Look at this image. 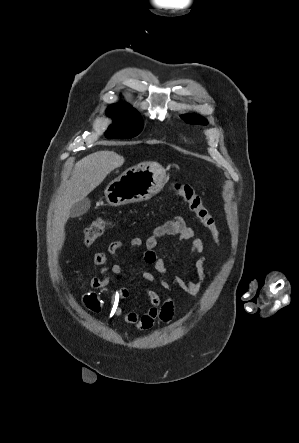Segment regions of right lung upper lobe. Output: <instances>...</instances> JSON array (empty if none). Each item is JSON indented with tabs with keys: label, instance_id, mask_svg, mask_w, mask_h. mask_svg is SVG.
<instances>
[{
	"label": "right lung upper lobe",
	"instance_id": "1",
	"mask_svg": "<svg viewBox=\"0 0 299 443\" xmlns=\"http://www.w3.org/2000/svg\"><path fill=\"white\" fill-rule=\"evenodd\" d=\"M115 105H120V106H125V107L132 108L130 105H128V104H126V103H120V104H115Z\"/></svg>",
	"mask_w": 299,
	"mask_h": 443
}]
</instances>
